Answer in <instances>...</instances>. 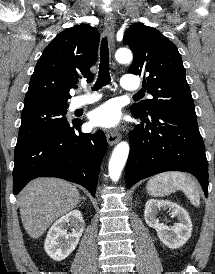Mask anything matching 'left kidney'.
<instances>
[{
  "label": "left kidney",
  "mask_w": 215,
  "mask_h": 274,
  "mask_svg": "<svg viewBox=\"0 0 215 274\" xmlns=\"http://www.w3.org/2000/svg\"><path fill=\"white\" fill-rule=\"evenodd\" d=\"M160 209L171 211V216L177 217L178 222L172 227L159 223L156 215ZM144 218L146 224L157 231L160 241L171 249L182 247L191 237L192 222L189 214L176 203L150 199L145 205Z\"/></svg>",
  "instance_id": "1"
}]
</instances>
